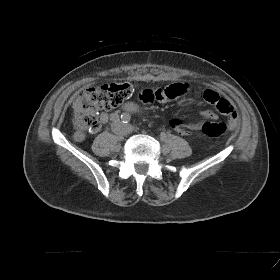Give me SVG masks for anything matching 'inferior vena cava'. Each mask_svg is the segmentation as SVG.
<instances>
[{"label":"inferior vena cava","mask_w":280,"mask_h":280,"mask_svg":"<svg viewBox=\"0 0 280 280\" xmlns=\"http://www.w3.org/2000/svg\"><path fill=\"white\" fill-rule=\"evenodd\" d=\"M112 131H113L114 133H116V134H121V135H125V134L127 133L126 130H120V129L118 128V124H113V125H112Z\"/></svg>","instance_id":"inferior-vena-cava-1"}]
</instances>
